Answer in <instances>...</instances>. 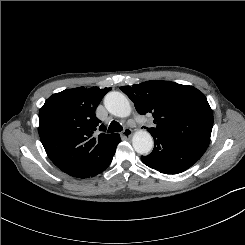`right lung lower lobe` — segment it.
<instances>
[{"label":"right lung lower lobe","mask_w":245,"mask_h":245,"mask_svg":"<svg viewBox=\"0 0 245 245\" xmlns=\"http://www.w3.org/2000/svg\"><path fill=\"white\" fill-rule=\"evenodd\" d=\"M120 141H121V139L119 138L118 141H117V143H116V146L118 145V143H119ZM116 146H115V149H114L113 153L111 154V156H110L109 159L107 160V163H106L104 169H106V168L109 166V164L111 163L112 158H113V156H114V154H115V151H116ZM104 169H103V170H104ZM101 172H102V171H101Z\"/></svg>","instance_id":"1"}]
</instances>
